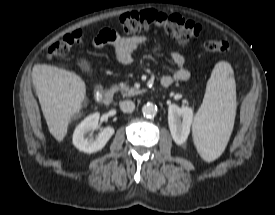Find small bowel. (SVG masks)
I'll use <instances>...</instances> for the list:
<instances>
[{
	"instance_id": "1",
	"label": "small bowel",
	"mask_w": 275,
	"mask_h": 215,
	"mask_svg": "<svg viewBox=\"0 0 275 215\" xmlns=\"http://www.w3.org/2000/svg\"><path fill=\"white\" fill-rule=\"evenodd\" d=\"M147 42V38L143 35H135L124 37L117 34L109 28H104L96 36L93 41L95 47H100L105 44L110 45L119 61L123 64H131L134 60L133 53ZM172 62L175 65V71L170 75H164L161 79V84L170 85L174 81H186L190 77V72L184 66V58L181 53L175 51L171 54Z\"/></svg>"
}]
</instances>
